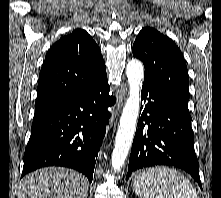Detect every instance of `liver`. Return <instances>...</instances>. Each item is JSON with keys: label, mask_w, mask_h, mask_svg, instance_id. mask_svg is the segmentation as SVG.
I'll return each instance as SVG.
<instances>
[{"label": "liver", "mask_w": 221, "mask_h": 198, "mask_svg": "<svg viewBox=\"0 0 221 198\" xmlns=\"http://www.w3.org/2000/svg\"><path fill=\"white\" fill-rule=\"evenodd\" d=\"M88 181L80 173L63 168L39 169L24 177L17 198H87Z\"/></svg>", "instance_id": "obj_1"}]
</instances>
